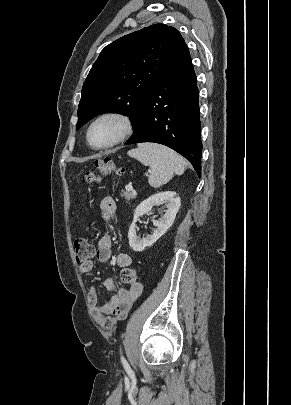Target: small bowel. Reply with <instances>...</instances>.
I'll return each instance as SVG.
<instances>
[{"label": "small bowel", "mask_w": 291, "mask_h": 405, "mask_svg": "<svg viewBox=\"0 0 291 405\" xmlns=\"http://www.w3.org/2000/svg\"><path fill=\"white\" fill-rule=\"evenodd\" d=\"M100 211L103 219L110 222L117 212L114 199L112 197L103 198L100 203ZM95 256L101 262L111 258L112 239L109 235H104L99 239ZM116 264L121 268H126L132 264V259L127 253H119L116 257ZM79 269L82 273H89L93 269V262L88 260L80 264ZM103 284L108 291L113 292L110 300L101 306L98 305L97 290L91 288L88 291V301L93 320L103 329H111L127 317L134 302L142 294L143 285L136 282L128 289L119 288L111 277H107Z\"/></svg>", "instance_id": "1"}]
</instances>
